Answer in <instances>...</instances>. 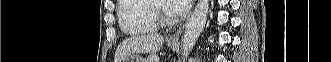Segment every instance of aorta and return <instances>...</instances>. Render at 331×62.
Instances as JSON below:
<instances>
[{"instance_id": "aorta-1", "label": "aorta", "mask_w": 331, "mask_h": 62, "mask_svg": "<svg viewBox=\"0 0 331 62\" xmlns=\"http://www.w3.org/2000/svg\"><path fill=\"white\" fill-rule=\"evenodd\" d=\"M209 0H199L186 25L183 42V61L187 59L205 27Z\"/></svg>"}]
</instances>
